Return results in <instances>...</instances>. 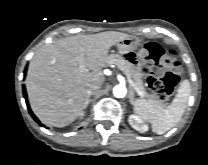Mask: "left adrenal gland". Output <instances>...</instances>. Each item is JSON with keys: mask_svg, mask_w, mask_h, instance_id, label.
Instances as JSON below:
<instances>
[{"mask_svg": "<svg viewBox=\"0 0 208 165\" xmlns=\"http://www.w3.org/2000/svg\"><path fill=\"white\" fill-rule=\"evenodd\" d=\"M130 103L134 104V92L132 90L130 91Z\"/></svg>", "mask_w": 208, "mask_h": 165, "instance_id": "1", "label": "left adrenal gland"}]
</instances>
